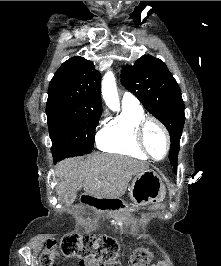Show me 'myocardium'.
Listing matches in <instances>:
<instances>
[{
	"label": "myocardium",
	"instance_id": "f54148a6",
	"mask_svg": "<svg viewBox=\"0 0 221 266\" xmlns=\"http://www.w3.org/2000/svg\"><path fill=\"white\" fill-rule=\"evenodd\" d=\"M149 124H154L156 125L159 130L162 132L165 142H166V147H165V152L161 158H155L149 151L146 142H145V131L146 128ZM136 141L139 145V147L142 149V151L152 160L154 161H161L164 160L167 155L169 154L170 148H171V140H170V135L166 129V127L156 118L150 117V116H145L142 118L136 126Z\"/></svg>",
	"mask_w": 221,
	"mask_h": 266
}]
</instances>
